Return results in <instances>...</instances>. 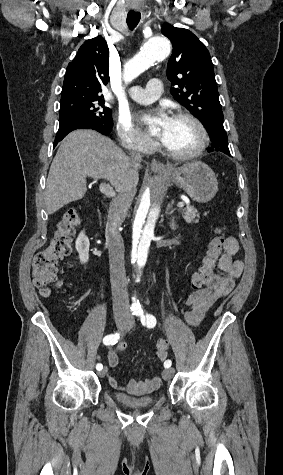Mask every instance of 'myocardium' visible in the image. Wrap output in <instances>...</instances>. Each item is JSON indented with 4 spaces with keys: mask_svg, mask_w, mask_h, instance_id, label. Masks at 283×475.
<instances>
[{
    "mask_svg": "<svg viewBox=\"0 0 283 475\" xmlns=\"http://www.w3.org/2000/svg\"><path fill=\"white\" fill-rule=\"evenodd\" d=\"M174 116L181 117L192 122L199 131V135H200L199 141L197 145L195 146V148L186 154H174L170 152L166 148L164 143L159 139L158 145L160 149L162 150L164 155L167 156L171 161H174L177 163H184V162H188V161L198 158L206 149L208 141H209V135H208L206 126L197 116H195L194 114L188 111H177Z\"/></svg>",
    "mask_w": 283,
    "mask_h": 475,
    "instance_id": "1",
    "label": "myocardium"
}]
</instances>
